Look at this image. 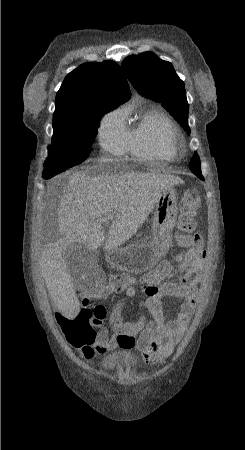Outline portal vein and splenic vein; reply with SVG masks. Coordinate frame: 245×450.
Instances as JSON below:
<instances>
[{"mask_svg":"<svg viewBox=\"0 0 245 450\" xmlns=\"http://www.w3.org/2000/svg\"><path fill=\"white\" fill-rule=\"evenodd\" d=\"M113 218V215H108L106 218H104V219H102L100 222H106L107 220H109V219H112Z\"/></svg>","mask_w":245,"mask_h":450,"instance_id":"18ae733b","label":"portal vein and splenic vein"}]
</instances>
